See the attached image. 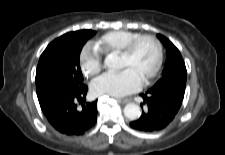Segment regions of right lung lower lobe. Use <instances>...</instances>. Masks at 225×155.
<instances>
[{"mask_svg": "<svg viewBox=\"0 0 225 155\" xmlns=\"http://www.w3.org/2000/svg\"><path fill=\"white\" fill-rule=\"evenodd\" d=\"M87 87H62L39 101L51 125L67 135H81L97 120V101L85 102Z\"/></svg>", "mask_w": 225, "mask_h": 155, "instance_id": "1", "label": "right lung lower lobe"}]
</instances>
